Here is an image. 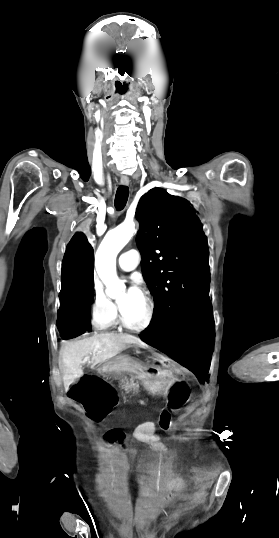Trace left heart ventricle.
Instances as JSON below:
<instances>
[{
    "instance_id": "1",
    "label": "left heart ventricle",
    "mask_w": 279,
    "mask_h": 538,
    "mask_svg": "<svg viewBox=\"0 0 279 538\" xmlns=\"http://www.w3.org/2000/svg\"><path fill=\"white\" fill-rule=\"evenodd\" d=\"M102 220V216H99ZM121 303L124 315L127 321L132 325H140L147 314V307L141 295L130 293L128 290H122L117 297Z\"/></svg>"
}]
</instances>
